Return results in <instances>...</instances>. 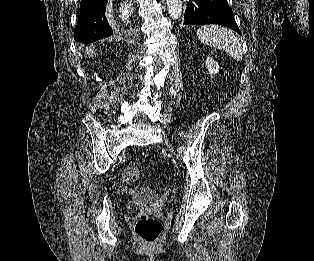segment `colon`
Listing matches in <instances>:
<instances>
[{"mask_svg":"<svg viewBox=\"0 0 314 261\" xmlns=\"http://www.w3.org/2000/svg\"><path fill=\"white\" fill-rule=\"evenodd\" d=\"M140 176V170L136 166H128L122 173L123 180L127 183L135 182ZM136 235L146 243L156 242L162 234L161 221L152 216L141 217L134 227Z\"/></svg>","mask_w":314,"mask_h":261,"instance_id":"1","label":"colon"}]
</instances>
